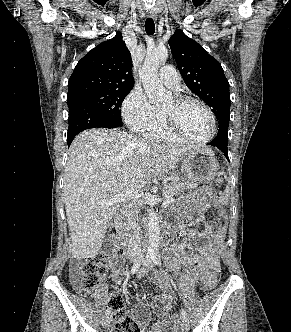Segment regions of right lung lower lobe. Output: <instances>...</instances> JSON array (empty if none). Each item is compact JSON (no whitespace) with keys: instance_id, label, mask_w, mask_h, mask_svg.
<instances>
[{"instance_id":"right-lung-lower-lobe-1","label":"right lung lower lobe","mask_w":291,"mask_h":332,"mask_svg":"<svg viewBox=\"0 0 291 332\" xmlns=\"http://www.w3.org/2000/svg\"><path fill=\"white\" fill-rule=\"evenodd\" d=\"M68 122V146L78 133L86 129L117 127L104 113L97 111L94 107L88 104H77L70 108Z\"/></svg>"}]
</instances>
